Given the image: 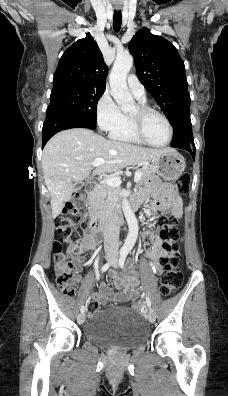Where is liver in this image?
I'll list each match as a JSON object with an SVG mask.
<instances>
[{
    "label": "liver",
    "instance_id": "liver-1",
    "mask_svg": "<svg viewBox=\"0 0 228 396\" xmlns=\"http://www.w3.org/2000/svg\"><path fill=\"white\" fill-rule=\"evenodd\" d=\"M172 149H152L106 139L92 130L74 128L54 135L45 145L42 168L51 196L52 216L56 218L69 201L75 185L86 179L90 163L97 158L106 162L93 175L119 171L127 166L146 163Z\"/></svg>",
    "mask_w": 228,
    "mask_h": 396
}]
</instances>
